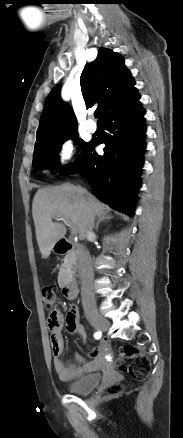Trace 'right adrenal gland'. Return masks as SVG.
Instances as JSON below:
<instances>
[{
    "label": "right adrenal gland",
    "instance_id": "2a0ac1e0",
    "mask_svg": "<svg viewBox=\"0 0 183 438\" xmlns=\"http://www.w3.org/2000/svg\"><path fill=\"white\" fill-rule=\"evenodd\" d=\"M110 219H112V216L107 214V212L99 214L98 215V221H97L96 226H95L96 231L98 230L99 224H100L101 221L110 220Z\"/></svg>",
    "mask_w": 183,
    "mask_h": 438
}]
</instances>
